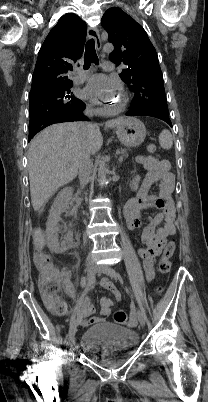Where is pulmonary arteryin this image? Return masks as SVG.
Here are the masks:
<instances>
[{
  "mask_svg": "<svg viewBox=\"0 0 208 402\" xmlns=\"http://www.w3.org/2000/svg\"><path fill=\"white\" fill-rule=\"evenodd\" d=\"M103 69L105 71H112L114 69L113 62L108 59L104 60ZM74 73L76 76H88L90 74V69L88 67H76Z\"/></svg>",
  "mask_w": 208,
  "mask_h": 402,
  "instance_id": "pulmonary-artery-1",
  "label": "pulmonary artery"
}]
</instances>
